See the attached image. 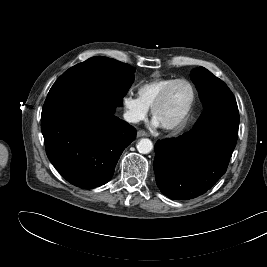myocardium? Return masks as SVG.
Listing matches in <instances>:
<instances>
[{
	"mask_svg": "<svg viewBox=\"0 0 267 267\" xmlns=\"http://www.w3.org/2000/svg\"><path fill=\"white\" fill-rule=\"evenodd\" d=\"M179 83H185L187 84L192 91V98L189 106L187 107L185 113L182 115V117L177 120L174 123L171 124H160L161 128L167 131H179L185 127L187 124L189 117L191 115V112L193 110L195 100H196V91L194 85L187 79H176L170 84H168L166 87H164L161 92L158 94V96L155 98L153 104L151 105V115L153 119H155V114L157 109L163 104V102L166 100L168 97L170 91L174 86H176Z\"/></svg>",
	"mask_w": 267,
	"mask_h": 267,
	"instance_id": "myocardium-1",
	"label": "myocardium"
}]
</instances>
